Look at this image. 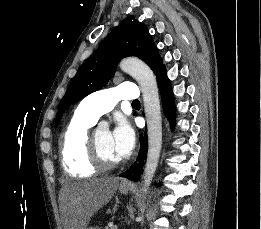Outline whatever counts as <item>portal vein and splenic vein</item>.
I'll return each instance as SVG.
<instances>
[{
  "instance_id": "portal-vein-and-splenic-vein-1",
  "label": "portal vein and splenic vein",
  "mask_w": 261,
  "mask_h": 229,
  "mask_svg": "<svg viewBox=\"0 0 261 229\" xmlns=\"http://www.w3.org/2000/svg\"><path fill=\"white\" fill-rule=\"evenodd\" d=\"M111 229H118V227H116V224H113V226L111 227Z\"/></svg>"
}]
</instances>
